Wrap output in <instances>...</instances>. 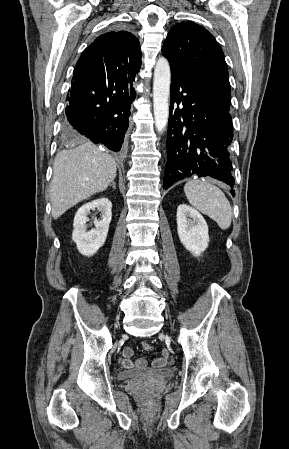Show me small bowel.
<instances>
[{"mask_svg": "<svg viewBox=\"0 0 289 449\" xmlns=\"http://www.w3.org/2000/svg\"><path fill=\"white\" fill-rule=\"evenodd\" d=\"M133 356V349L131 347H126L123 350V359L121 365L125 369H143L147 366V361L143 358L136 360L135 362L131 359ZM170 360V352L165 348L160 352V358L153 361V367L164 368L168 361Z\"/></svg>", "mask_w": 289, "mask_h": 449, "instance_id": "obj_1", "label": "small bowel"}]
</instances>
